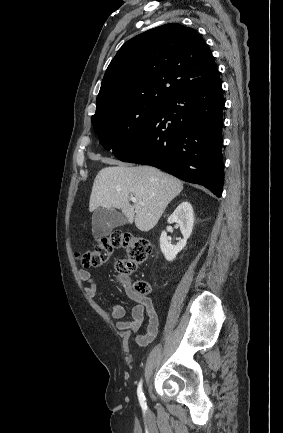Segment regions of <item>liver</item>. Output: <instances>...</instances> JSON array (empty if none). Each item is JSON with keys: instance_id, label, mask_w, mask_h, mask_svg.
Here are the masks:
<instances>
[{"instance_id": "obj_1", "label": "liver", "mask_w": 283, "mask_h": 433, "mask_svg": "<svg viewBox=\"0 0 283 433\" xmlns=\"http://www.w3.org/2000/svg\"><path fill=\"white\" fill-rule=\"evenodd\" d=\"M118 166H106L95 176L89 210L120 208L128 223L139 231H151L157 225L170 200L183 188L182 180L161 172L154 166H129L114 160ZM129 196L136 202L131 204ZM144 202V204H140Z\"/></svg>"}]
</instances>
